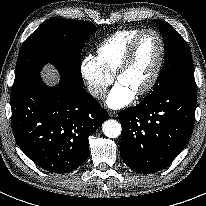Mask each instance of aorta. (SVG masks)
I'll list each match as a JSON object with an SVG mask.
<instances>
[{"mask_svg":"<svg viewBox=\"0 0 206 206\" xmlns=\"http://www.w3.org/2000/svg\"><path fill=\"white\" fill-rule=\"evenodd\" d=\"M103 133L108 138H117L121 134V125L114 119L106 120L102 127Z\"/></svg>","mask_w":206,"mask_h":206,"instance_id":"obj_1","label":"aorta"}]
</instances>
